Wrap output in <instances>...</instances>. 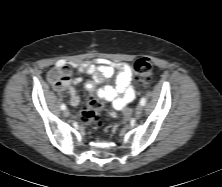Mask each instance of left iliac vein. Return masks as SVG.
<instances>
[{
  "mask_svg": "<svg viewBox=\"0 0 222 187\" xmlns=\"http://www.w3.org/2000/svg\"><path fill=\"white\" fill-rule=\"evenodd\" d=\"M143 112V106L140 104L136 107V110H135V115L136 116H140Z\"/></svg>",
  "mask_w": 222,
  "mask_h": 187,
  "instance_id": "obj_1",
  "label": "left iliac vein"
}]
</instances>
